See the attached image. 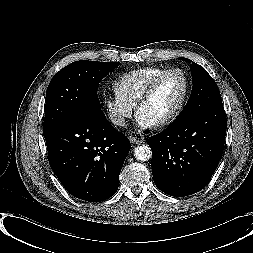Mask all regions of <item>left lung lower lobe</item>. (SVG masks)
<instances>
[{"label":"left lung lower lobe","mask_w":253,"mask_h":253,"mask_svg":"<svg viewBox=\"0 0 253 253\" xmlns=\"http://www.w3.org/2000/svg\"><path fill=\"white\" fill-rule=\"evenodd\" d=\"M227 128L222 104L173 122L147 141L152 174L164 193L183 197L201 191L223 153Z\"/></svg>","instance_id":"obj_1"}]
</instances>
